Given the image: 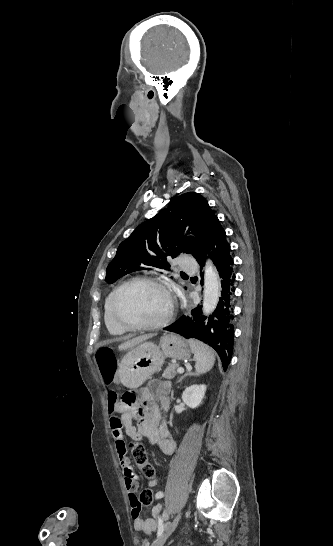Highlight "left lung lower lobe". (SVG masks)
Masks as SVG:
<instances>
[{"label": "left lung lower lobe", "mask_w": 333, "mask_h": 546, "mask_svg": "<svg viewBox=\"0 0 333 546\" xmlns=\"http://www.w3.org/2000/svg\"><path fill=\"white\" fill-rule=\"evenodd\" d=\"M206 253L214 261L221 278V297L216 310L208 318L202 315L199 307L189 314L183 315L164 330L182 335L185 338H196L216 350L222 361L224 370L228 367L233 351L234 318L231 305L235 276L232 274L233 259L230 256V244L226 240V233L217 219L213 225L211 235L195 256L201 269L205 265Z\"/></svg>", "instance_id": "left-lung-lower-lobe-1"}]
</instances>
